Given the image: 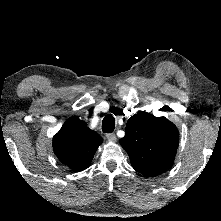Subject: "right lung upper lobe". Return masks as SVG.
I'll return each instance as SVG.
<instances>
[{
	"instance_id": "1",
	"label": "right lung upper lobe",
	"mask_w": 221,
	"mask_h": 221,
	"mask_svg": "<svg viewBox=\"0 0 221 221\" xmlns=\"http://www.w3.org/2000/svg\"><path fill=\"white\" fill-rule=\"evenodd\" d=\"M102 142V137L84 121L69 119L53 137V150L63 164L79 172L89 166Z\"/></svg>"
}]
</instances>
